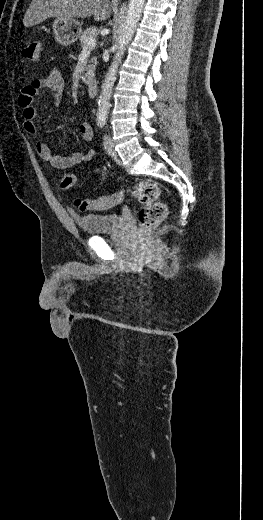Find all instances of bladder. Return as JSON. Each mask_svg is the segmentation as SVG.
<instances>
[{
  "label": "bladder",
  "mask_w": 263,
  "mask_h": 520,
  "mask_svg": "<svg viewBox=\"0 0 263 520\" xmlns=\"http://www.w3.org/2000/svg\"><path fill=\"white\" fill-rule=\"evenodd\" d=\"M73 219L82 232L90 235L118 233L125 227L124 218L115 213L73 215Z\"/></svg>",
  "instance_id": "31cf9c89"
}]
</instances>
